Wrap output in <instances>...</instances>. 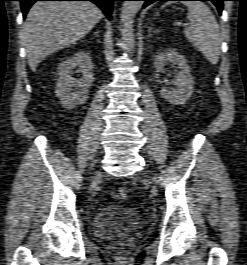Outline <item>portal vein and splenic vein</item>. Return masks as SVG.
I'll return each instance as SVG.
<instances>
[{
    "instance_id": "18ae733b",
    "label": "portal vein and splenic vein",
    "mask_w": 247,
    "mask_h": 265,
    "mask_svg": "<svg viewBox=\"0 0 247 265\" xmlns=\"http://www.w3.org/2000/svg\"><path fill=\"white\" fill-rule=\"evenodd\" d=\"M176 25H177V26H182V23L177 22Z\"/></svg>"
}]
</instances>
